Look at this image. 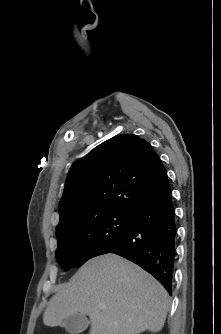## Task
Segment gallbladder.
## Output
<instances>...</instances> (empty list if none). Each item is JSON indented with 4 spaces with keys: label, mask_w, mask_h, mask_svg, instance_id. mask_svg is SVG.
<instances>
[{
    "label": "gallbladder",
    "mask_w": 221,
    "mask_h": 334,
    "mask_svg": "<svg viewBox=\"0 0 221 334\" xmlns=\"http://www.w3.org/2000/svg\"><path fill=\"white\" fill-rule=\"evenodd\" d=\"M89 321L84 314L70 315L64 320V328L70 334H80L87 329Z\"/></svg>",
    "instance_id": "1"
}]
</instances>
